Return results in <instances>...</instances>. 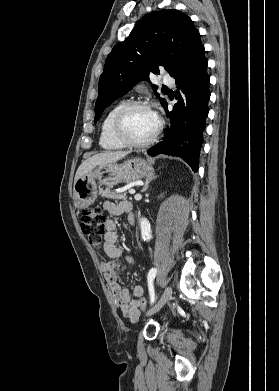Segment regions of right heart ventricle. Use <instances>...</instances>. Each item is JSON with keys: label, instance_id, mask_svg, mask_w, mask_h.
Masks as SVG:
<instances>
[{"label": "right heart ventricle", "instance_id": "right-heart-ventricle-1", "mask_svg": "<svg viewBox=\"0 0 279 391\" xmlns=\"http://www.w3.org/2000/svg\"><path fill=\"white\" fill-rule=\"evenodd\" d=\"M124 104L120 101L113 105L105 114L100 128L99 144L105 150H120L125 148V145L120 143L113 135L112 124L115 114L119 108Z\"/></svg>", "mask_w": 279, "mask_h": 391}]
</instances>
